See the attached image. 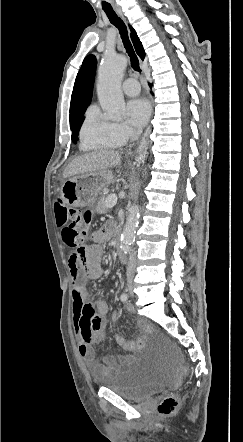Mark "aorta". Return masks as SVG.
I'll use <instances>...</instances> for the list:
<instances>
[{
  "label": "aorta",
  "instance_id": "762f6f07",
  "mask_svg": "<svg viewBox=\"0 0 243 442\" xmlns=\"http://www.w3.org/2000/svg\"><path fill=\"white\" fill-rule=\"evenodd\" d=\"M127 66L122 55H106L98 71L97 92L99 101L108 118L119 119L125 113V101L121 91V80ZM140 211L138 205L131 206L121 234L122 251L130 252L135 241Z\"/></svg>",
  "mask_w": 243,
  "mask_h": 442
}]
</instances>
